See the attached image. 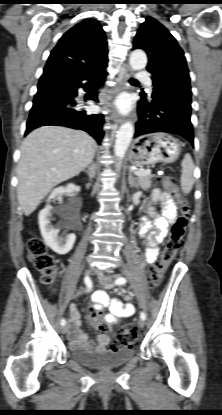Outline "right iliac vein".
Returning a JSON list of instances; mask_svg holds the SVG:
<instances>
[{"label": "right iliac vein", "instance_id": "1", "mask_svg": "<svg viewBox=\"0 0 222 415\" xmlns=\"http://www.w3.org/2000/svg\"><path fill=\"white\" fill-rule=\"evenodd\" d=\"M92 272H93V269L92 268H89V269L86 270L85 275L86 276H89ZM68 330H69V326L68 325H65V326H62L61 327V333L62 334H66L68 332Z\"/></svg>", "mask_w": 222, "mask_h": 415}]
</instances>
